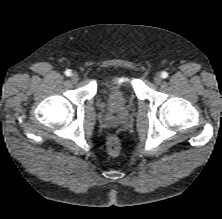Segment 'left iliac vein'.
<instances>
[{
	"label": "left iliac vein",
	"instance_id": "obj_1",
	"mask_svg": "<svg viewBox=\"0 0 222 219\" xmlns=\"http://www.w3.org/2000/svg\"><path fill=\"white\" fill-rule=\"evenodd\" d=\"M154 82L159 85L162 83V77L160 74H156L155 77H154Z\"/></svg>",
	"mask_w": 222,
	"mask_h": 219
}]
</instances>
